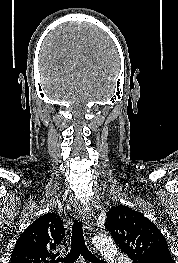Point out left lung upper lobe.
Segmentation results:
<instances>
[{
    "label": "left lung upper lobe",
    "instance_id": "1",
    "mask_svg": "<svg viewBox=\"0 0 178 263\" xmlns=\"http://www.w3.org/2000/svg\"><path fill=\"white\" fill-rule=\"evenodd\" d=\"M104 225L133 263H175L163 234L141 213L118 205L108 211Z\"/></svg>",
    "mask_w": 178,
    "mask_h": 263
}]
</instances>
